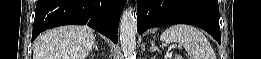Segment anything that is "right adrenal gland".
Segmentation results:
<instances>
[{"label":"right adrenal gland","instance_id":"obj_1","mask_svg":"<svg viewBox=\"0 0 261 59\" xmlns=\"http://www.w3.org/2000/svg\"><path fill=\"white\" fill-rule=\"evenodd\" d=\"M93 48L96 50V51H99V49H98V47H97V45L94 43L93 44Z\"/></svg>","mask_w":261,"mask_h":59}]
</instances>
